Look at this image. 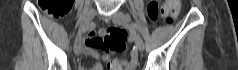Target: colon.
<instances>
[{
	"instance_id": "colon-1",
	"label": "colon",
	"mask_w": 238,
	"mask_h": 70,
	"mask_svg": "<svg viewBox=\"0 0 238 70\" xmlns=\"http://www.w3.org/2000/svg\"><path fill=\"white\" fill-rule=\"evenodd\" d=\"M71 0H41V8L51 17L65 16L71 8ZM181 7L180 0H167L161 8L158 1H150L147 5L148 16L152 21L158 20L160 13L167 14V22L172 20ZM103 45L114 51H122L125 48L127 33L119 28H109L104 31ZM126 65L123 59H114L108 64L109 70H123Z\"/></svg>"
}]
</instances>
